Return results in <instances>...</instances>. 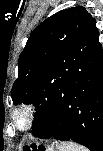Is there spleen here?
Masks as SVG:
<instances>
[{
  "label": "spleen",
  "instance_id": "spleen-1",
  "mask_svg": "<svg viewBox=\"0 0 103 151\" xmlns=\"http://www.w3.org/2000/svg\"><path fill=\"white\" fill-rule=\"evenodd\" d=\"M59 151H89V149L74 142H62L59 145Z\"/></svg>",
  "mask_w": 103,
  "mask_h": 151
}]
</instances>
